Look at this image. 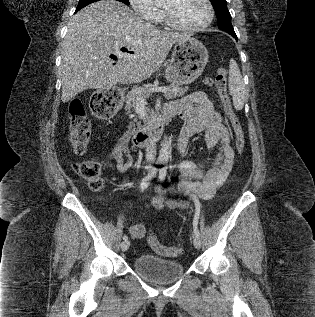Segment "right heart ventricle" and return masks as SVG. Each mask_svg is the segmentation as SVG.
Listing matches in <instances>:
<instances>
[{"label": "right heart ventricle", "mask_w": 315, "mask_h": 317, "mask_svg": "<svg viewBox=\"0 0 315 317\" xmlns=\"http://www.w3.org/2000/svg\"><path fill=\"white\" fill-rule=\"evenodd\" d=\"M159 20H162V14H161V16H160Z\"/></svg>", "instance_id": "1"}]
</instances>
